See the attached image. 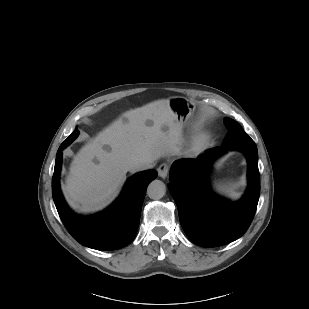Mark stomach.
<instances>
[{
	"label": "stomach",
	"mask_w": 309,
	"mask_h": 309,
	"mask_svg": "<svg viewBox=\"0 0 309 309\" xmlns=\"http://www.w3.org/2000/svg\"><path fill=\"white\" fill-rule=\"evenodd\" d=\"M170 107L176 115L181 129L185 127L195 112V105L184 97H173L169 100Z\"/></svg>",
	"instance_id": "1"
}]
</instances>
